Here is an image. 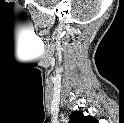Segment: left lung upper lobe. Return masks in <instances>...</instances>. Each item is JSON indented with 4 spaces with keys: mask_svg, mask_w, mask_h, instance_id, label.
<instances>
[{
    "mask_svg": "<svg viewBox=\"0 0 124 123\" xmlns=\"http://www.w3.org/2000/svg\"><path fill=\"white\" fill-rule=\"evenodd\" d=\"M69 123H97V119L92 116H84L80 111L70 114Z\"/></svg>",
    "mask_w": 124,
    "mask_h": 123,
    "instance_id": "obj_1",
    "label": "left lung upper lobe"
}]
</instances>
